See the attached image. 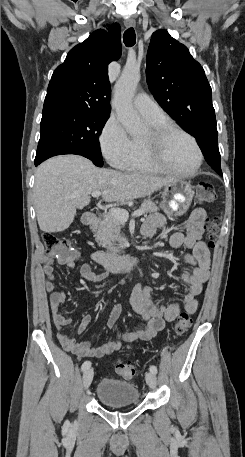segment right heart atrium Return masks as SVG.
I'll list each match as a JSON object with an SVG mask.
<instances>
[{
    "label": "right heart atrium",
    "instance_id": "right-heart-atrium-1",
    "mask_svg": "<svg viewBox=\"0 0 245 457\" xmlns=\"http://www.w3.org/2000/svg\"><path fill=\"white\" fill-rule=\"evenodd\" d=\"M99 141L104 156L114 164L121 162L131 150L132 139L121 121L114 115L105 122Z\"/></svg>",
    "mask_w": 245,
    "mask_h": 457
}]
</instances>
